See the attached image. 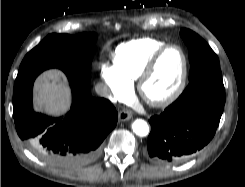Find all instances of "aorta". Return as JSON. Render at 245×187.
Masks as SVG:
<instances>
[{"label":"aorta","mask_w":245,"mask_h":187,"mask_svg":"<svg viewBox=\"0 0 245 187\" xmlns=\"http://www.w3.org/2000/svg\"><path fill=\"white\" fill-rule=\"evenodd\" d=\"M132 130L136 135L144 137L149 133V126L146 121L137 119L132 124Z\"/></svg>","instance_id":"1"}]
</instances>
